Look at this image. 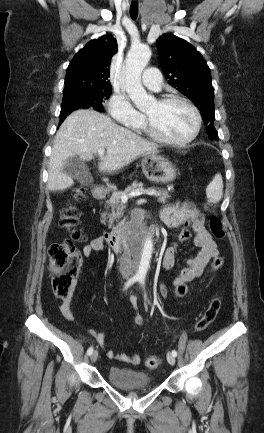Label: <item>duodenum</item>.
Wrapping results in <instances>:
<instances>
[{"mask_svg": "<svg viewBox=\"0 0 264 433\" xmlns=\"http://www.w3.org/2000/svg\"><path fill=\"white\" fill-rule=\"evenodd\" d=\"M93 197L97 200H103L106 197V193L101 188H93L92 190ZM125 224H121L118 228L104 232V238L107 244L113 250H121L126 249L125 247ZM156 233V227L151 226L146 230V234L148 236H154ZM124 259L122 261V269L126 273H132L134 271L133 266H131L130 260L134 257V253L132 250H126L123 253Z\"/></svg>", "mask_w": 264, "mask_h": 433, "instance_id": "1", "label": "duodenum"}]
</instances>
